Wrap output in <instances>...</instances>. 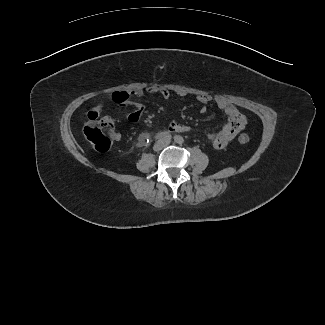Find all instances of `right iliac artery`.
Wrapping results in <instances>:
<instances>
[{"mask_svg":"<svg viewBox=\"0 0 325 325\" xmlns=\"http://www.w3.org/2000/svg\"><path fill=\"white\" fill-rule=\"evenodd\" d=\"M172 138L171 134L168 133V132H161V133H158L156 136H155V139L156 140H166V141H170Z\"/></svg>","mask_w":325,"mask_h":325,"instance_id":"obj_1","label":"right iliac artery"}]
</instances>
